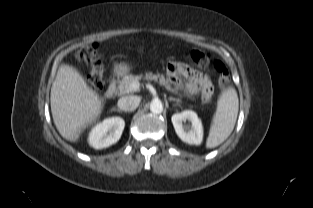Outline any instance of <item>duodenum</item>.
<instances>
[{
    "mask_svg": "<svg viewBox=\"0 0 313 208\" xmlns=\"http://www.w3.org/2000/svg\"><path fill=\"white\" fill-rule=\"evenodd\" d=\"M115 91H116V80L112 79L110 81L105 93L108 97H112L114 95Z\"/></svg>",
    "mask_w": 313,
    "mask_h": 208,
    "instance_id": "obj_1",
    "label": "duodenum"
}]
</instances>
